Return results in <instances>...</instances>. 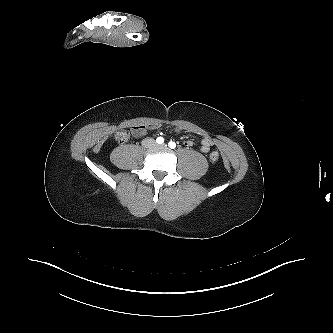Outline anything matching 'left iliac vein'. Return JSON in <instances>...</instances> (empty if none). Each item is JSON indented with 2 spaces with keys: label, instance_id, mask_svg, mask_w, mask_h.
<instances>
[{
  "label": "left iliac vein",
  "instance_id": "left-iliac-vein-1",
  "mask_svg": "<svg viewBox=\"0 0 333 333\" xmlns=\"http://www.w3.org/2000/svg\"><path fill=\"white\" fill-rule=\"evenodd\" d=\"M162 146H163V147H165L166 145H165V144H163Z\"/></svg>",
  "mask_w": 333,
  "mask_h": 333
}]
</instances>
